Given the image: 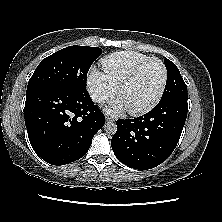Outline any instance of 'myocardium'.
<instances>
[{"label":"myocardium","mask_w":222,"mask_h":222,"mask_svg":"<svg viewBox=\"0 0 222 222\" xmlns=\"http://www.w3.org/2000/svg\"><path fill=\"white\" fill-rule=\"evenodd\" d=\"M155 61L158 62L161 67H162V71H163V78H162V83L160 86V89L157 93V95L146 105L139 107V108H134V109H128L129 113L132 115H142L145 114L147 112H149L150 110H152L161 100L165 88H166V84H167V79H168V71L166 68V65L164 64V62L156 57H149L148 59L142 61L141 63H139L132 71L131 73L120 83V85L118 86V93L121 95L122 90L128 86L129 84H131L136 77L138 76V74L140 73V71L150 62Z\"/></svg>","instance_id":"1"}]
</instances>
